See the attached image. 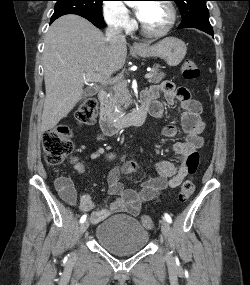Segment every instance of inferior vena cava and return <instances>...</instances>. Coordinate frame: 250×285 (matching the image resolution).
Returning <instances> with one entry per match:
<instances>
[{"label":"inferior vena cava","mask_w":250,"mask_h":285,"mask_svg":"<svg viewBox=\"0 0 250 285\" xmlns=\"http://www.w3.org/2000/svg\"><path fill=\"white\" fill-rule=\"evenodd\" d=\"M106 38L111 43H126L125 35H123L122 28L116 22L110 23L108 25L106 29Z\"/></svg>","instance_id":"1"}]
</instances>
